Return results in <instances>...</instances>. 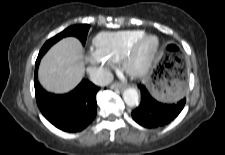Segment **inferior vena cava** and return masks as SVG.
I'll return each mask as SVG.
<instances>
[{"mask_svg":"<svg viewBox=\"0 0 225 155\" xmlns=\"http://www.w3.org/2000/svg\"><path fill=\"white\" fill-rule=\"evenodd\" d=\"M91 81L98 86H106L113 81V74L107 70H97L91 77Z\"/></svg>","mask_w":225,"mask_h":155,"instance_id":"inferior-vena-cava-1","label":"inferior vena cava"}]
</instances>
